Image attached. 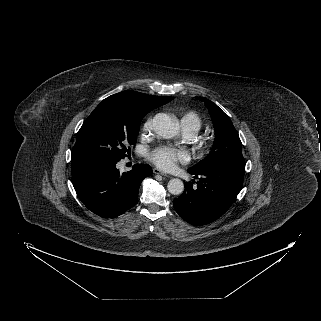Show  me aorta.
I'll use <instances>...</instances> for the list:
<instances>
[{
    "label": "aorta",
    "instance_id": "762f6f07",
    "mask_svg": "<svg viewBox=\"0 0 321 321\" xmlns=\"http://www.w3.org/2000/svg\"><path fill=\"white\" fill-rule=\"evenodd\" d=\"M153 129L160 137L169 139L178 134L179 126L165 113H158L153 118ZM168 192L179 195L184 191V184L178 178L171 179L167 184Z\"/></svg>",
    "mask_w": 321,
    "mask_h": 321
}]
</instances>
